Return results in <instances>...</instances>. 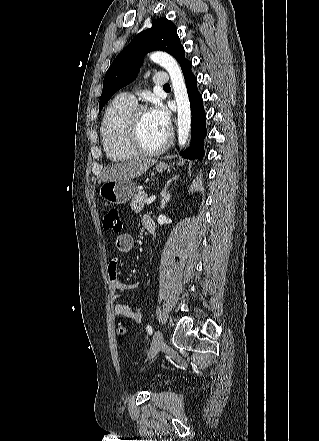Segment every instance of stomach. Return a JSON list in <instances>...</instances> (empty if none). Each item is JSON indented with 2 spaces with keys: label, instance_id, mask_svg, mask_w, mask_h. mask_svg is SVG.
I'll return each instance as SVG.
<instances>
[{
  "label": "stomach",
  "instance_id": "1",
  "mask_svg": "<svg viewBox=\"0 0 319 441\" xmlns=\"http://www.w3.org/2000/svg\"><path fill=\"white\" fill-rule=\"evenodd\" d=\"M159 173L169 170V166L160 163L156 166ZM135 192V185L131 180H110L100 187V196L108 204H124L128 202Z\"/></svg>",
  "mask_w": 319,
  "mask_h": 441
}]
</instances>
